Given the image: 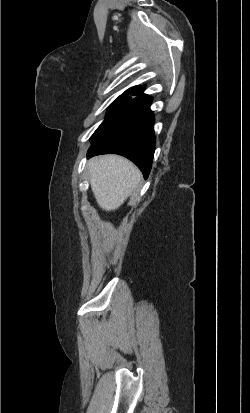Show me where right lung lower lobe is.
<instances>
[{
    "label": "right lung lower lobe",
    "instance_id": "1",
    "mask_svg": "<svg viewBox=\"0 0 250 413\" xmlns=\"http://www.w3.org/2000/svg\"><path fill=\"white\" fill-rule=\"evenodd\" d=\"M152 98L140 96L131 102L118 123L92 143L87 156L115 153L122 155L142 171L146 179L152 167L155 150Z\"/></svg>",
    "mask_w": 250,
    "mask_h": 413
}]
</instances>
